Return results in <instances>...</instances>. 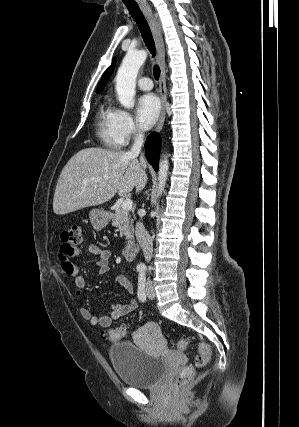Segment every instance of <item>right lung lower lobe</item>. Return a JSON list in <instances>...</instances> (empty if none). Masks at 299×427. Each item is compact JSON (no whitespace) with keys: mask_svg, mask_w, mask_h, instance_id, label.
Returning a JSON list of instances; mask_svg holds the SVG:
<instances>
[{"mask_svg":"<svg viewBox=\"0 0 299 427\" xmlns=\"http://www.w3.org/2000/svg\"><path fill=\"white\" fill-rule=\"evenodd\" d=\"M160 149L161 140L159 135L157 133H151L145 142V154L148 161L156 171L158 170Z\"/></svg>","mask_w":299,"mask_h":427,"instance_id":"98d812e1","label":"right lung lower lobe"}]
</instances>
